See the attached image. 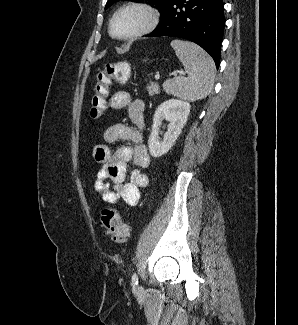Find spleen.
Segmentation results:
<instances>
[{"instance_id": "spleen-1", "label": "spleen", "mask_w": 298, "mask_h": 325, "mask_svg": "<svg viewBox=\"0 0 298 325\" xmlns=\"http://www.w3.org/2000/svg\"><path fill=\"white\" fill-rule=\"evenodd\" d=\"M172 48L181 60L188 76H175L163 82V90L167 94L178 96L182 100H200L210 94L215 80V64L213 58L189 40H171Z\"/></svg>"}]
</instances>
